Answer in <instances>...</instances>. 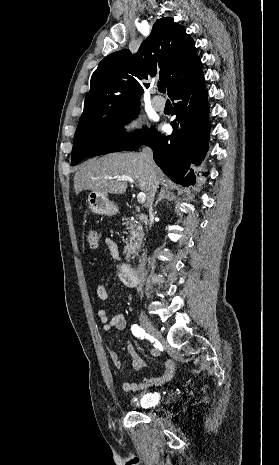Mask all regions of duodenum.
Listing matches in <instances>:
<instances>
[{"label": "duodenum", "instance_id": "obj_1", "mask_svg": "<svg viewBox=\"0 0 279 465\" xmlns=\"http://www.w3.org/2000/svg\"><path fill=\"white\" fill-rule=\"evenodd\" d=\"M138 217L142 221H145L147 219L144 214H139ZM121 280L125 285L129 287L136 286L138 284V275L136 270L129 264L123 265Z\"/></svg>", "mask_w": 279, "mask_h": 465}]
</instances>
